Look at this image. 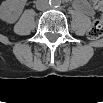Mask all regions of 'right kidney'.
<instances>
[{
	"instance_id": "right-kidney-1",
	"label": "right kidney",
	"mask_w": 103,
	"mask_h": 103,
	"mask_svg": "<svg viewBox=\"0 0 103 103\" xmlns=\"http://www.w3.org/2000/svg\"><path fill=\"white\" fill-rule=\"evenodd\" d=\"M24 4L19 1L6 0L0 5V19L7 23H15L22 13Z\"/></svg>"
}]
</instances>
